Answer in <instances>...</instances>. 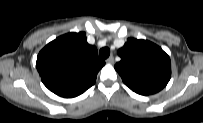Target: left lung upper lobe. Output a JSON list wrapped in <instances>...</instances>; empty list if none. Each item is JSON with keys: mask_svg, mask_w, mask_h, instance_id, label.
I'll list each match as a JSON object with an SVG mask.
<instances>
[{"mask_svg": "<svg viewBox=\"0 0 203 123\" xmlns=\"http://www.w3.org/2000/svg\"><path fill=\"white\" fill-rule=\"evenodd\" d=\"M121 61L115 69L123 82L140 95L154 94L170 80L171 61L156 44L147 40L129 38L118 50Z\"/></svg>", "mask_w": 203, "mask_h": 123, "instance_id": "left-lung-upper-lobe-1", "label": "left lung upper lobe"}]
</instances>
